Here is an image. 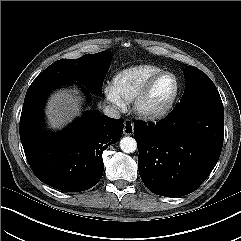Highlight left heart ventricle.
<instances>
[{
	"label": "left heart ventricle",
	"mask_w": 241,
	"mask_h": 241,
	"mask_svg": "<svg viewBox=\"0 0 241 241\" xmlns=\"http://www.w3.org/2000/svg\"><path fill=\"white\" fill-rule=\"evenodd\" d=\"M175 82L170 76H165L160 79L154 86L149 99V106H158L164 103L174 92Z\"/></svg>",
	"instance_id": "left-heart-ventricle-1"
}]
</instances>
